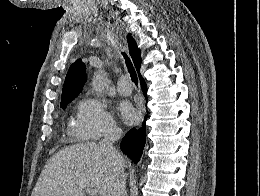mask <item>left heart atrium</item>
I'll list each match as a JSON object with an SVG mask.
<instances>
[{
  "label": "left heart atrium",
  "mask_w": 260,
  "mask_h": 196,
  "mask_svg": "<svg viewBox=\"0 0 260 196\" xmlns=\"http://www.w3.org/2000/svg\"><path fill=\"white\" fill-rule=\"evenodd\" d=\"M120 110L122 117L127 123H133L136 120L137 113L130 104L123 103ZM106 192H122V190H106Z\"/></svg>",
  "instance_id": "39dd6f15"
}]
</instances>
